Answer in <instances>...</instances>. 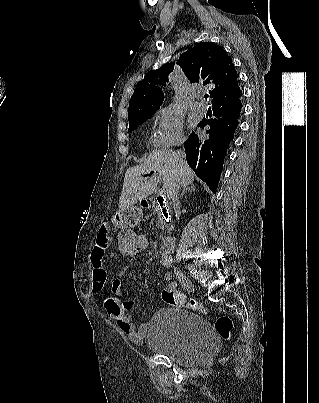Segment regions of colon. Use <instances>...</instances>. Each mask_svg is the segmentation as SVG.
<instances>
[{
  "label": "colon",
  "mask_w": 319,
  "mask_h": 403,
  "mask_svg": "<svg viewBox=\"0 0 319 403\" xmlns=\"http://www.w3.org/2000/svg\"><path fill=\"white\" fill-rule=\"evenodd\" d=\"M147 245L145 235L140 234L139 226H130L129 229H124L122 234L115 236V251L120 254L121 260H137L138 254L148 253ZM162 299L171 306L206 312L200 302L194 299L187 300L184 294L172 289L164 290ZM232 328V319L227 315H221L215 321L216 331L225 340L230 338Z\"/></svg>",
  "instance_id": "colon-1"
}]
</instances>
